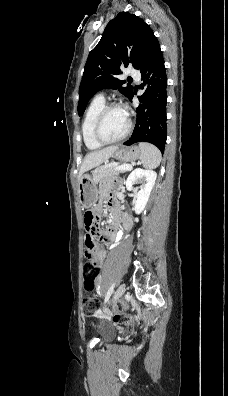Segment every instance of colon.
Wrapping results in <instances>:
<instances>
[{"instance_id": "colon-1", "label": "colon", "mask_w": 228, "mask_h": 396, "mask_svg": "<svg viewBox=\"0 0 228 396\" xmlns=\"http://www.w3.org/2000/svg\"><path fill=\"white\" fill-rule=\"evenodd\" d=\"M85 228L88 232L85 239V256L86 262L83 266V285L85 290L92 291L96 287V280L100 275V270L93 260V253L96 249V240L98 238V228L96 225V216L92 211H87L84 214ZM99 307V301L94 296H86L82 301V309L85 316H93ZM120 313L116 315V322L131 324L132 318L124 313L127 309V304L122 303L119 306Z\"/></svg>"}]
</instances>
